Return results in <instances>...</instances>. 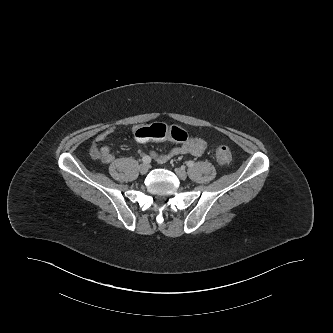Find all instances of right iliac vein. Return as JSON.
<instances>
[{
    "label": "right iliac vein",
    "instance_id": "1",
    "mask_svg": "<svg viewBox=\"0 0 333 333\" xmlns=\"http://www.w3.org/2000/svg\"><path fill=\"white\" fill-rule=\"evenodd\" d=\"M149 170V165L144 163L139 166V171L141 174H146Z\"/></svg>",
    "mask_w": 333,
    "mask_h": 333
}]
</instances>
